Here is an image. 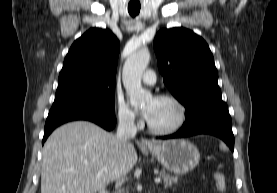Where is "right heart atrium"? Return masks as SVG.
Returning <instances> with one entry per match:
<instances>
[{
    "label": "right heart atrium",
    "mask_w": 277,
    "mask_h": 193,
    "mask_svg": "<svg viewBox=\"0 0 277 193\" xmlns=\"http://www.w3.org/2000/svg\"><path fill=\"white\" fill-rule=\"evenodd\" d=\"M116 112L119 122L124 126H135L138 123V116L125 100L118 97L116 100Z\"/></svg>",
    "instance_id": "right-heart-atrium-1"
}]
</instances>
